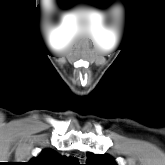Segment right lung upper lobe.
Listing matches in <instances>:
<instances>
[{"mask_svg":"<svg viewBox=\"0 0 165 165\" xmlns=\"http://www.w3.org/2000/svg\"><path fill=\"white\" fill-rule=\"evenodd\" d=\"M27 165H80L74 157H66L52 150H43L42 153L33 158Z\"/></svg>","mask_w":165,"mask_h":165,"instance_id":"obj_1","label":"right lung upper lobe"}]
</instances>
